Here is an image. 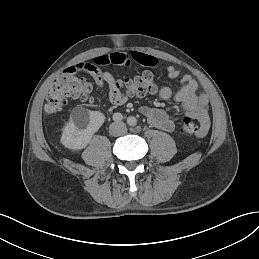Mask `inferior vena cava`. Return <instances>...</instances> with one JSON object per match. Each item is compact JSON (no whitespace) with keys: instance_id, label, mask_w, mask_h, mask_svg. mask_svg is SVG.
<instances>
[{"instance_id":"1","label":"inferior vena cava","mask_w":259,"mask_h":259,"mask_svg":"<svg viewBox=\"0 0 259 259\" xmlns=\"http://www.w3.org/2000/svg\"><path fill=\"white\" fill-rule=\"evenodd\" d=\"M110 134L113 136L123 135L126 131V125L123 122H114L110 125Z\"/></svg>"}]
</instances>
